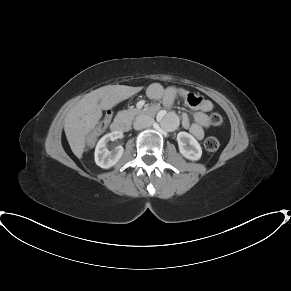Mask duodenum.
<instances>
[{
	"instance_id": "duodenum-1",
	"label": "duodenum",
	"mask_w": 291,
	"mask_h": 291,
	"mask_svg": "<svg viewBox=\"0 0 291 291\" xmlns=\"http://www.w3.org/2000/svg\"><path fill=\"white\" fill-rule=\"evenodd\" d=\"M157 112H158V107L155 105L148 106L143 110V114L151 116V117L155 116ZM126 129H127V121L125 118H118L112 123V131L114 133H122L126 131Z\"/></svg>"
}]
</instances>
